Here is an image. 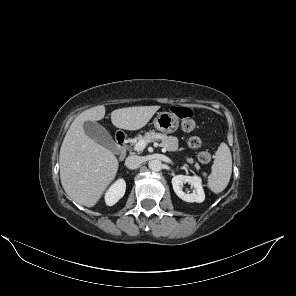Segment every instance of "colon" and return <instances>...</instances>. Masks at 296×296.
I'll return each instance as SVG.
<instances>
[{"mask_svg":"<svg viewBox=\"0 0 296 296\" xmlns=\"http://www.w3.org/2000/svg\"><path fill=\"white\" fill-rule=\"evenodd\" d=\"M171 111L178 116L181 120L182 129L186 132H190L196 129V122L193 118L194 113L192 109L184 106H173ZM202 145V141L199 137L193 136L188 140V146L192 149H199ZM212 159V156L207 151H202L198 154V160L201 163H209Z\"/></svg>","mask_w":296,"mask_h":296,"instance_id":"obj_1","label":"colon"}]
</instances>
